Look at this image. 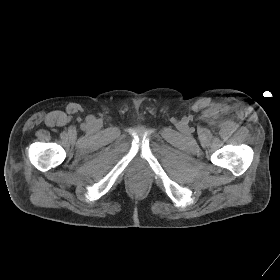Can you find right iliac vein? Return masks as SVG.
Listing matches in <instances>:
<instances>
[{"label":"right iliac vein","instance_id":"63e3f726","mask_svg":"<svg viewBox=\"0 0 280 280\" xmlns=\"http://www.w3.org/2000/svg\"><path fill=\"white\" fill-rule=\"evenodd\" d=\"M100 126H101V123L98 122V121H94V122H92V124H91V127H92L93 129H98Z\"/></svg>","mask_w":280,"mask_h":280}]
</instances>
